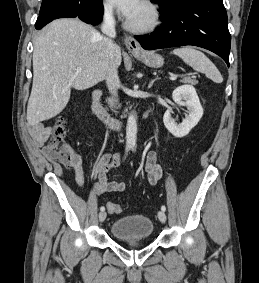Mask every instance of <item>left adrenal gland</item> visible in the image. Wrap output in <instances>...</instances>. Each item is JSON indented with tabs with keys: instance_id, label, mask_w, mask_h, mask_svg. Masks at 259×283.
<instances>
[{
	"instance_id": "a2214340",
	"label": "left adrenal gland",
	"mask_w": 259,
	"mask_h": 283,
	"mask_svg": "<svg viewBox=\"0 0 259 283\" xmlns=\"http://www.w3.org/2000/svg\"><path fill=\"white\" fill-rule=\"evenodd\" d=\"M157 79H158V78L153 79V80L149 83L148 89H150V88L153 86L154 82H155Z\"/></svg>"
}]
</instances>
